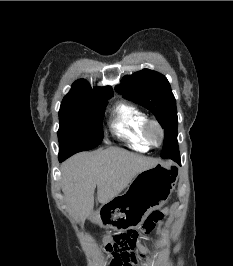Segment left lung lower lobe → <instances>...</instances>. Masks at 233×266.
Instances as JSON below:
<instances>
[{"label":"left lung lower lobe","instance_id":"obj_1","mask_svg":"<svg viewBox=\"0 0 233 266\" xmlns=\"http://www.w3.org/2000/svg\"><path fill=\"white\" fill-rule=\"evenodd\" d=\"M170 159L176 161L178 164H180V155L178 149H176L172 154L169 155Z\"/></svg>","mask_w":233,"mask_h":266}]
</instances>
